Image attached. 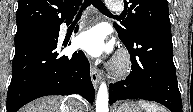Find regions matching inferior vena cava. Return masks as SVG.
<instances>
[{
  "mask_svg": "<svg viewBox=\"0 0 193 112\" xmlns=\"http://www.w3.org/2000/svg\"><path fill=\"white\" fill-rule=\"evenodd\" d=\"M70 112H85L82 101L72 100Z\"/></svg>",
  "mask_w": 193,
  "mask_h": 112,
  "instance_id": "obj_1",
  "label": "inferior vena cava"
}]
</instances>
